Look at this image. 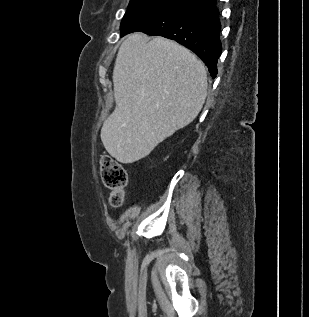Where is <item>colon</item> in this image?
Here are the masks:
<instances>
[{
  "label": "colon",
  "instance_id": "1",
  "mask_svg": "<svg viewBox=\"0 0 309 317\" xmlns=\"http://www.w3.org/2000/svg\"><path fill=\"white\" fill-rule=\"evenodd\" d=\"M100 168L103 183L111 190L110 203L112 206L118 207L124 200L127 172L119 162L109 156L101 157Z\"/></svg>",
  "mask_w": 309,
  "mask_h": 317
}]
</instances>
